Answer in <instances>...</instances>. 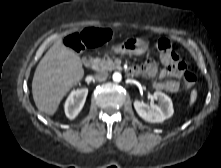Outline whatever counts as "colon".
Segmentation results:
<instances>
[{
    "label": "colon",
    "mask_w": 221,
    "mask_h": 168,
    "mask_svg": "<svg viewBox=\"0 0 221 168\" xmlns=\"http://www.w3.org/2000/svg\"><path fill=\"white\" fill-rule=\"evenodd\" d=\"M109 37V29L88 28L80 33H73L68 35L65 38L64 43L66 46L75 51H82L85 48L99 45L100 43L108 40ZM157 48L161 52V55H168L173 51L171 42L167 38H160L157 41ZM184 84L190 88H193L196 85V77L189 70L188 78L184 81Z\"/></svg>",
    "instance_id": "1"
}]
</instances>
